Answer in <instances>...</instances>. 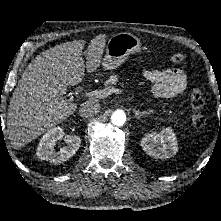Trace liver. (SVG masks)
<instances>
[{"mask_svg": "<svg viewBox=\"0 0 221 221\" xmlns=\"http://www.w3.org/2000/svg\"><path fill=\"white\" fill-rule=\"evenodd\" d=\"M106 35L93 38L87 48L86 66L82 57L84 40L56 45L35 57L23 72L10 100L7 134L15 150L66 120L77 103L65 100L68 86L79 84L101 64Z\"/></svg>", "mask_w": 221, "mask_h": 221, "instance_id": "6515ba94", "label": "liver"}]
</instances>
